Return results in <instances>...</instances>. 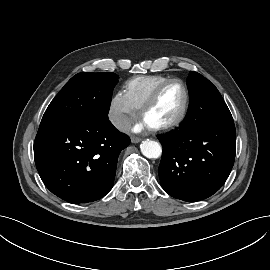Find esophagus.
<instances>
[{
  "mask_svg": "<svg viewBox=\"0 0 270 270\" xmlns=\"http://www.w3.org/2000/svg\"><path fill=\"white\" fill-rule=\"evenodd\" d=\"M141 141V139L137 136H132L131 137V142L132 143H139Z\"/></svg>",
  "mask_w": 270,
  "mask_h": 270,
  "instance_id": "obj_1",
  "label": "esophagus"
}]
</instances>
